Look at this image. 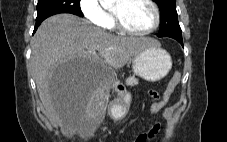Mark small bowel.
<instances>
[{"label": "small bowel", "instance_id": "small-bowel-1", "mask_svg": "<svg viewBox=\"0 0 227 142\" xmlns=\"http://www.w3.org/2000/svg\"><path fill=\"white\" fill-rule=\"evenodd\" d=\"M150 95L153 97L154 100H158L160 98L159 94L155 91H150ZM161 128L160 123L156 122L152 125V127L147 131L144 132L138 139L137 142H150L152 141L157 134L159 133Z\"/></svg>", "mask_w": 227, "mask_h": 142}]
</instances>
